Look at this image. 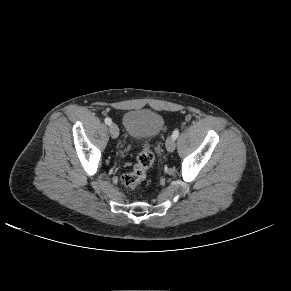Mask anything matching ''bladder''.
Returning <instances> with one entry per match:
<instances>
[{
	"instance_id": "31cf9c89",
	"label": "bladder",
	"mask_w": 291,
	"mask_h": 291,
	"mask_svg": "<svg viewBox=\"0 0 291 291\" xmlns=\"http://www.w3.org/2000/svg\"><path fill=\"white\" fill-rule=\"evenodd\" d=\"M124 129L133 141H146L154 138L162 130L163 117L147 109L130 110L123 117Z\"/></svg>"
}]
</instances>
